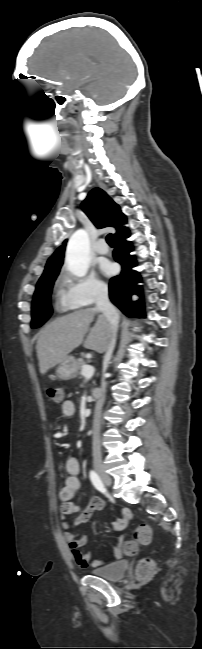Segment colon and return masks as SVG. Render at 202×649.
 I'll return each instance as SVG.
<instances>
[{
    "mask_svg": "<svg viewBox=\"0 0 202 649\" xmlns=\"http://www.w3.org/2000/svg\"><path fill=\"white\" fill-rule=\"evenodd\" d=\"M47 395L50 400L60 403L64 398V391L61 387L53 386L47 389ZM151 540V529L147 525L138 526L130 540L124 543L123 553L134 554L139 545H147ZM154 565L152 561H141L137 566V576L140 579L149 577L153 573Z\"/></svg>",
    "mask_w": 202,
    "mask_h": 649,
    "instance_id": "colon-1",
    "label": "colon"
}]
</instances>
